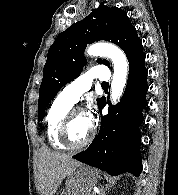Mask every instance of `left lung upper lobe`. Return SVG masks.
Instances as JSON below:
<instances>
[{"label": "left lung upper lobe", "mask_w": 178, "mask_h": 195, "mask_svg": "<svg viewBox=\"0 0 178 195\" xmlns=\"http://www.w3.org/2000/svg\"><path fill=\"white\" fill-rule=\"evenodd\" d=\"M100 40L118 45L124 50L128 61L143 53L142 42L126 12L101 3L83 20L62 32L50 47L39 89V121L43 120L45 108L62 86L80 75L86 64V45ZM97 62L109 66L107 60L98 59ZM100 100L97 99L98 105Z\"/></svg>", "instance_id": "left-lung-upper-lobe-1"}]
</instances>
